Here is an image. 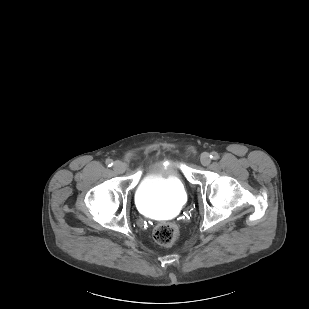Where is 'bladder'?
Instances as JSON below:
<instances>
[{
  "mask_svg": "<svg viewBox=\"0 0 309 309\" xmlns=\"http://www.w3.org/2000/svg\"><path fill=\"white\" fill-rule=\"evenodd\" d=\"M135 201L141 212L155 217L175 214L185 206L187 189L172 160L157 159L146 165Z\"/></svg>",
  "mask_w": 309,
  "mask_h": 309,
  "instance_id": "31cf9c89",
  "label": "bladder"
}]
</instances>
